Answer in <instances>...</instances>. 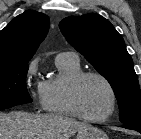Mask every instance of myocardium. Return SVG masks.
I'll return each mask as SVG.
<instances>
[{
    "label": "myocardium",
    "instance_id": "obj_1",
    "mask_svg": "<svg viewBox=\"0 0 141 139\" xmlns=\"http://www.w3.org/2000/svg\"><path fill=\"white\" fill-rule=\"evenodd\" d=\"M89 77H95V78L100 79L107 86L111 94V108L109 112L103 117H99V118L90 117L83 112L80 106L79 96H78L79 88H80L81 83L86 78H89ZM67 97H68L70 108L72 109L74 114L83 120L93 122V123H102V122L109 120L115 113V110L117 107V94H116V91L112 83L109 81V79L106 76H104L103 74L99 72H95V71H83L79 73L78 75H76L70 81L68 85Z\"/></svg>",
    "mask_w": 141,
    "mask_h": 139
}]
</instances>
